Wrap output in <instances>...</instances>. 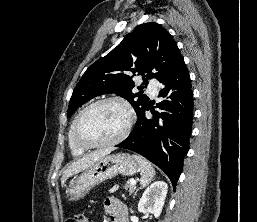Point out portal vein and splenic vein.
Wrapping results in <instances>:
<instances>
[{
	"label": "portal vein and splenic vein",
	"instance_id": "obj_1",
	"mask_svg": "<svg viewBox=\"0 0 257 222\" xmlns=\"http://www.w3.org/2000/svg\"><path fill=\"white\" fill-rule=\"evenodd\" d=\"M131 185H136V181L134 179L130 180Z\"/></svg>",
	"mask_w": 257,
	"mask_h": 222
}]
</instances>
